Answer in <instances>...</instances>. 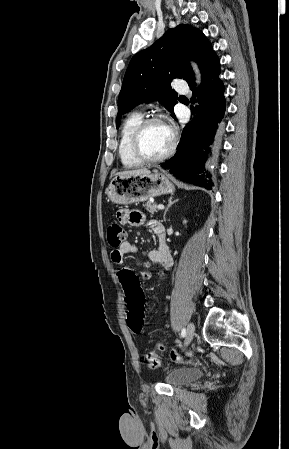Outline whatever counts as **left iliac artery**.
<instances>
[{
    "instance_id": "obj_1",
    "label": "left iliac artery",
    "mask_w": 289,
    "mask_h": 449,
    "mask_svg": "<svg viewBox=\"0 0 289 449\" xmlns=\"http://www.w3.org/2000/svg\"><path fill=\"white\" fill-rule=\"evenodd\" d=\"M181 336H182V337H185V336H186V329H185V328L182 329V331H181Z\"/></svg>"
}]
</instances>
